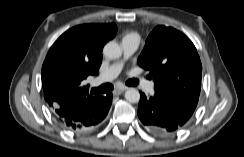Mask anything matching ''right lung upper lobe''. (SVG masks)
<instances>
[{
    "label": "right lung upper lobe",
    "instance_id": "obj_1",
    "mask_svg": "<svg viewBox=\"0 0 244 157\" xmlns=\"http://www.w3.org/2000/svg\"><path fill=\"white\" fill-rule=\"evenodd\" d=\"M116 33L114 23L78 25L52 45L42 66V84L55 114L67 116L103 97L90 95L82 82L99 69L103 46Z\"/></svg>",
    "mask_w": 244,
    "mask_h": 157
}]
</instances>
